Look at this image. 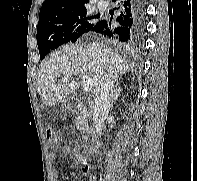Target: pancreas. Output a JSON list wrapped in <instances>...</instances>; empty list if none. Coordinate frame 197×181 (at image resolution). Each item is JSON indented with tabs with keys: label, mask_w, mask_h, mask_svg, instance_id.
<instances>
[{
	"label": "pancreas",
	"mask_w": 197,
	"mask_h": 181,
	"mask_svg": "<svg viewBox=\"0 0 197 181\" xmlns=\"http://www.w3.org/2000/svg\"><path fill=\"white\" fill-rule=\"evenodd\" d=\"M75 124L77 130H79L82 135L89 132V127L87 125V117L85 115H78L75 119Z\"/></svg>",
	"instance_id": "pancreas-1"
}]
</instances>
